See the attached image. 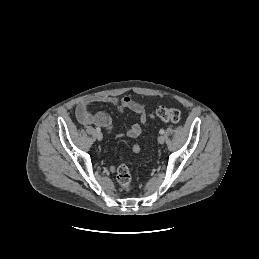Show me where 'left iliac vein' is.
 Returning a JSON list of instances; mask_svg holds the SVG:
<instances>
[{"label": "left iliac vein", "mask_w": 259, "mask_h": 259, "mask_svg": "<svg viewBox=\"0 0 259 259\" xmlns=\"http://www.w3.org/2000/svg\"><path fill=\"white\" fill-rule=\"evenodd\" d=\"M158 142L160 143V144H163L164 142H165V137L164 136H159L158 137Z\"/></svg>", "instance_id": "4c4485c4"}]
</instances>
